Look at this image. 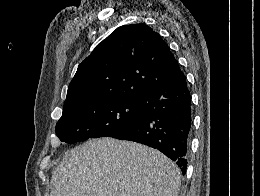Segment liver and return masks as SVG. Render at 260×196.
Listing matches in <instances>:
<instances>
[{"label":"liver","instance_id":"obj_1","mask_svg":"<svg viewBox=\"0 0 260 196\" xmlns=\"http://www.w3.org/2000/svg\"><path fill=\"white\" fill-rule=\"evenodd\" d=\"M180 186L178 166L158 150L97 138L57 166L50 196H179Z\"/></svg>","mask_w":260,"mask_h":196}]
</instances>
